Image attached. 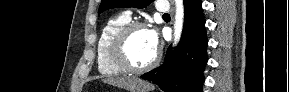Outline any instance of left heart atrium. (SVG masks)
Returning <instances> with one entry per match:
<instances>
[{"mask_svg": "<svg viewBox=\"0 0 289 92\" xmlns=\"http://www.w3.org/2000/svg\"><path fill=\"white\" fill-rule=\"evenodd\" d=\"M147 33H148V37H149L151 45L153 46L155 50H157L159 40H158V35H157L156 30L154 28H149L147 29Z\"/></svg>", "mask_w": 289, "mask_h": 92, "instance_id": "39dd6f15", "label": "left heart atrium"}]
</instances>
